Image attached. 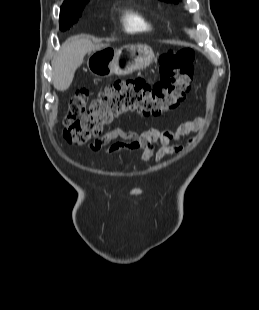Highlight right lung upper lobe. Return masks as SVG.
<instances>
[{
    "label": "right lung upper lobe",
    "mask_w": 259,
    "mask_h": 310,
    "mask_svg": "<svg viewBox=\"0 0 259 310\" xmlns=\"http://www.w3.org/2000/svg\"><path fill=\"white\" fill-rule=\"evenodd\" d=\"M83 1L87 0H65L61 6V9H69L72 8L78 4H80Z\"/></svg>",
    "instance_id": "obj_1"
}]
</instances>
